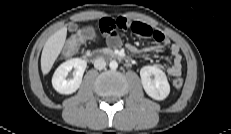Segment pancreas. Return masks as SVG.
I'll return each mask as SVG.
<instances>
[{"label": "pancreas", "mask_w": 231, "mask_h": 134, "mask_svg": "<svg viewBox=\"0 0 231 134\" xmlns=\"http://www.w3.org/2000/svg\"><path fill=\"white\" fill-rule=\"evenodd\" d=\"M104 52H107V53H112V51L110 49H103Z\"/></svg>", "instance_id": "cf45deb5"}]
</instances>
